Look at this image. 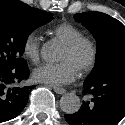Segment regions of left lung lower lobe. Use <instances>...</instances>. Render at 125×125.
Returning <instances> with one entry per match:
<instances>
[{
	"instance_id": "1",
	"label": "left lung lower lobe",
	"mask_w": 125,
	"mask_h": 125,
	"mask_svg": "<svg viewBox=\"0 0 125 125\" xmlns=\"http://www.w3.org/2000/svg\"><path fill=\"white\" fill-rule=\"evenodd\" d=\"M83 86V94L92 99L78 112L64 115L70 125H116L125 116V72H109Z\"/></svg>"
}]
</instances>
